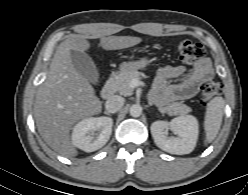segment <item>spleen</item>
Here are the masks:
<instances>
[{"instance_id":"spleen-1","label":"spleen","mask_w":248,"mask_h":195,"mask_svg":"<svg viewBox=\"0 0 248 195\" xmlns=\"http://www.w3.org/2000/svg\"><path fill=\"white\" fill-rule=\"evenodd\" d=\"M224 105L225 101L222 97H215L207 104L204 120L207 143L212 142L220 130Z\"/></svg>"}]
</instances>
